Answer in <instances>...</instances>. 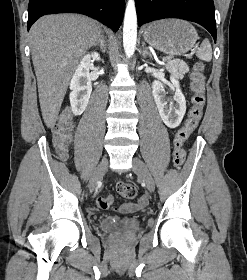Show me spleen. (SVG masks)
I'll return each mask as SVG.
<instances>
[{
    "label": "spleen",
    "instance_id": "3e777b00",
    "mask_svg": "<svg viewBox=\"0 0 247 280\" xmlns=\"http://www.w3.org/2000/svg\"><path fill=\"white\" fill-rule=\"evenodd\" d=\"M196 56L203 61L209 62L212 59V48L208 39H204L201 43L199 50L196 52Z\"/></svg>",
    "mask_w": 247,
    "mask_h": 280
}]
</instances>
